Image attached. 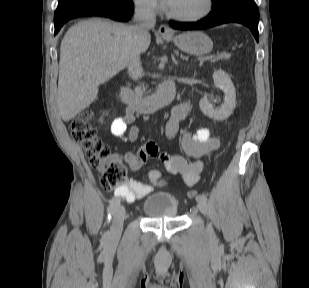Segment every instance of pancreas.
Returning a JSON list of instances; mask_svg holds the SVG:
<instances>
[{
  "label": "pancreas",
  "mask_w": 309,
  "mask_h": 288,
  "mask_svg": "<svg viewBox=\"0 0 309 288\" xmlns=\"http://www.w3.org/2000/svg\"><path fill=\"white\" fill-rule=\"evenodd\" d=\"M230 57H231V54L222 53V54L218 55L215 59L211 60V62H216V61H219V60H228V59H230ZM144 90H145L144 86L136 87L135 93L138 97H141L143 95Z\"/></svg>",
  "instance_id": "1"
}]
</instances>
